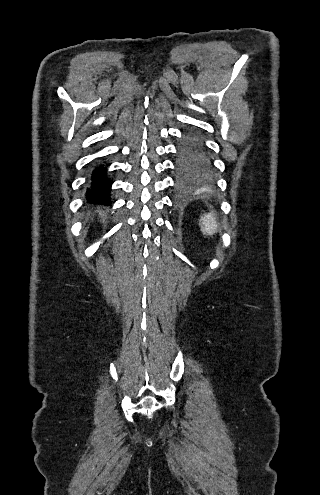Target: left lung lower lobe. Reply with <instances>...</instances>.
<instances>
[{
	"label": "left lung lower lobe",
	"mask_w": 320,
	"mask_h": 495,
	"mask_svg": "<svg viewBox=\"0 0 320 495\" xmlns=\"http://www.w3.org/2000/svg\"><path fill=\"white\" fill-rule=\"evenodd\" d=\"M198 142H199V141H198ZM199 143H200V142H199ZM200 145H201V143H200ZM201 148H202V147H201ZM202 151H203V150H202ZM203 153H204V151H203ZM204 154H205V153H204ZM205 156H206V155H205ZM206 157H207V156H206ZM208 160H209V159H208ZM209 162H210V160H209Z\"/></svg>",
	"instance_id": "obj_1"
}]
</instances>
